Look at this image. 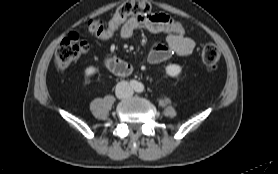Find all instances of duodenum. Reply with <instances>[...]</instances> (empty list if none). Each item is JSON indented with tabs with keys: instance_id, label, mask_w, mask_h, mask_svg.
<instances>
[{
	"instance_id": "410a0bca",
	"label": "duodenum",
	"mask_w": 278,
	"mask_h": 174,
	"mask_svg": "<svg viewBox=\"0 0 278 174\" xmlns=\"http://www.w3.org/2000/svg\"><path fill=\"white\" fill-rule=\"evenodd\" d=\"M108 68L115 74L125 75L130 71V66L117 58H112L107 61Z\"/></svg>"
}]
</instances>
